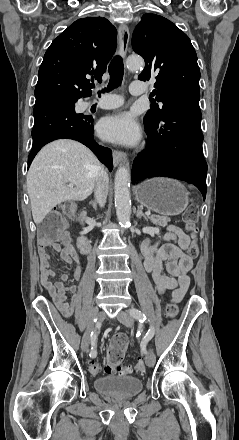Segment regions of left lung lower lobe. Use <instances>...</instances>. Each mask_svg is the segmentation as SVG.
Returning <instances> with one entry per match:
<instances>
[{
    "mask_svg": "<svg viewBox=\"0 0 239 440\" xmlns=\"http://www.w3.org/2000/svg\"><path fill=\"white\" fill-rule=\"evenodd\" d=\"M199 105L183 103L162 114L157 124H146L148 147L134 160L132 181L163 176L194 184L206 197L207 163Z\"/></svg>",
    "mask_w": 239,
    "mask_h": 440,
    "instance_id": "1",
    "label": "left lung lower lobe"
}]
</instances>
